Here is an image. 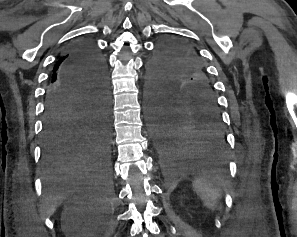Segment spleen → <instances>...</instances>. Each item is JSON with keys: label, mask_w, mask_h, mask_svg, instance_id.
I'll return each instance as SVG.
<instances>
[{"label": "spleen", "mask_w": 297, "mask_h": 237, "mask_svg": "<svg viewBox=\"0 0 297 237\" xmlns=\"http://www.w3.org/2000/svg\"><path fill=\"white\" fill-rule=\"evenodd\" d=\"M194 191L201 198L204 205L214 211L219 197L218 182L210 181L206 178H199L192 183Z\"/></svg>", "instance_id": "1"}]
</instances>
